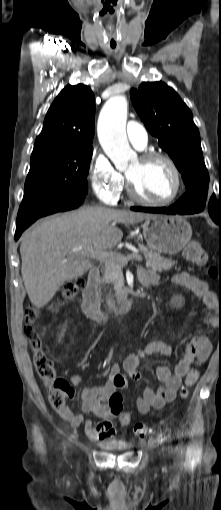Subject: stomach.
<instances>
[{"instance_id":"obj_1","label":"stomach","mask_w":221,"mask_h":510,"mask_svg":"<svg viewBox=\"0 0 221 510\" xmlns=\"http://www.w3.org/2000/svg\"><path fill=\"white\" fill-rule=\"evenodd\" d=\"M143 236L152 250L175 255L189 243L192 228L182 217L155 215L145 220Z\"/></svg>"}]
</instances>
